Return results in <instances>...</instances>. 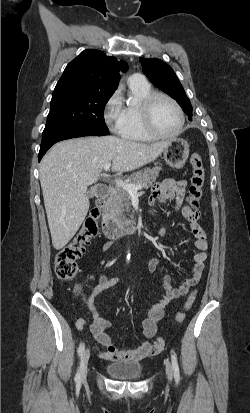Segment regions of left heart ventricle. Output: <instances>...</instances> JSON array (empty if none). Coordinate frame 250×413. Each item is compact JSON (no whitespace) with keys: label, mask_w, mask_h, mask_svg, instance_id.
Returning a JSON list of instances; mask_svg holds the SVG:
<instances>
[{"label":"left heart ventricle","mask_w":250,"mask_h":413,"mask_svg":"<svg viewBox=\"0 0 250 413\" xmlns=\"http://www.w3.org/2000/svg\"><path fill=\"white\" fill-rule=\"evenodd\" d=\"M180 118L176 108L166 99L159 98L153 107V123L162 134H170L177 130Z\"/></svg>","instance_id":"left-heart-ventricle-1"}]
</instances>
